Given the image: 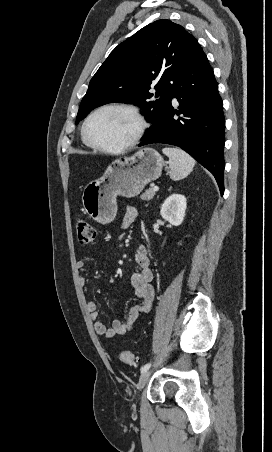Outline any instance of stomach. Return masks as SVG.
<instances>
[{"label": "stomach", "mask_w": 272, "mask_h": 452, "mask_svg": "<svg viewBox=\"0 0 272 452\" xmlns=\"http://www.w3.org/2000/svg\"><path fill=\"white\" fill-rule=\"evenodd\" d=\"M164 160L153 148L118 158L103 176L88 183L82 195L85 212L96 222L111 223L117 214V196L132 198L161 176Z\"/></svg>", "instance_id": "obj_1"}]
</instances>
